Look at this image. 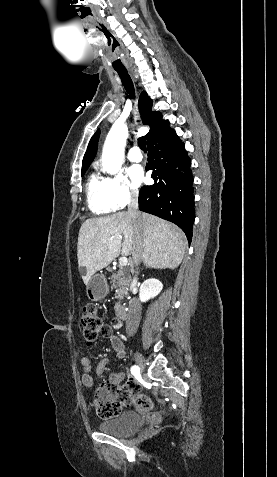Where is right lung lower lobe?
<instances>
[{"label": "right lung lower lobe", "mask_w": 277, "mask_h": 477, "mask_svg": "<svg viewBox=\"0 0 277 477\" xmlns=\"http://www.w3.org/2000/svg\"><path fill=\"white\" fill-rule=\"evenodd\" d=\"M191 160L184 143L170 129L163 137L148 144L146 170H153L154 185L139 192V209L171 221L186 234L189 243L195 220Z\"/></svg>", "instance_id": "right-lung-lower-lobe-1"}]
</instances>
